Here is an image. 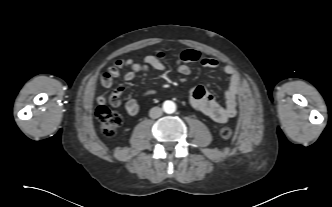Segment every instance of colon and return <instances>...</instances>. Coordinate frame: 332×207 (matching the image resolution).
Listing matches in <instances>:
<instances>
[{"label": "colon", "instance_id": "1", "mask_svg": "<svg viewBox=\"0 0 332 207\" xmlns=\"http://www.w3.org/2000/svg\"><path fill=\"white\" fill-rule=\"evenodd\" d=\"M107 101L113 106H118L121 103V97L114 92L108 99L103 95L98 98L96 115L101 123L102 132L106 137L113 138L117 135L123 120L119 113L111 110L107 106ZM231 135L232 131L228 127H224L220 130V136L224 139L230 138Z\"/></svg>", "mask_w": 332, "mask_h": 207}]
</instances>
